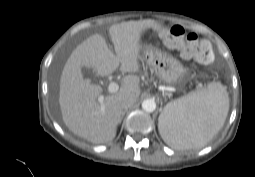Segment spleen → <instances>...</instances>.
<instances>
[{"label":"spleen","instance_id":"1","mask_svg":"<svg viewBox=\"0 0 255 177\" xmlns=\"http://www.w3.org/2000/svg\"><path fill=\"white\" fill-rule=\"evenodd\" d=\"M229 98L219 83L168 103L159 119L163 140L175 149L205 146L222 128Z\"/></svg>","mask_w":255,"mask_h":177}]
</instances>
